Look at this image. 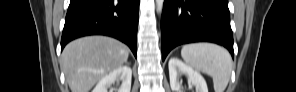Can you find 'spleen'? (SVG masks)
I'll use <instances>...</instances> for the list:
<instances>
[{
	"instance_id": "1",
	"label": "spleen",
	"mask_w": 296,
	"mask_h": 92,
	"mask_svg": "<svg viewBox=\"0 0 296 92\" xmlns=\"http://www.w3.org/2000/svg\"><path fill=\"white\" fill-rule=\"evenodd\" d=\"M184 61L213 79L215 92H224L230 80L232 59L222 47L211 43H192L182 47Z\"/></svg>"
}]
</instances>
